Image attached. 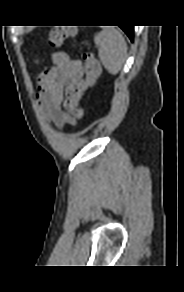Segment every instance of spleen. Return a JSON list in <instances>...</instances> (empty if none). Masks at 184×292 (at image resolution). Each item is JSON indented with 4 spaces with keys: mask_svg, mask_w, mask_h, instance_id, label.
I'll use <instances>...</instances> for the list:
<instances>
[{
    "mask_svg": "<svg viewBox=\"0 0 184 292\" xmlns=\"http://www.w3.org/2000/svg\"><path fill=\"white\" fill-rule=\"evenodd\" d=\"M94 42L98 46V56L110 74H117L126 59L127 43L122 34L114 28H106L97 33Z\"/></svg>",
    "mask_w": 184,
    "mask_h": 292,
    "instance_id": "obj_1",
    "label": "spleen"
}]
</instances>
